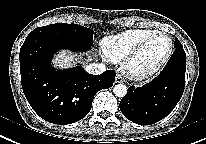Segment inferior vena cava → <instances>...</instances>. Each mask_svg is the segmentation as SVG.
I'll use <instances>...</instances> for the list:
<instances>
[{
    "label": "inferior vena cava",
    "mask_w": 206,
    "mask_h": 144,
    "mask_svg": "<svg viewBox=\"0 0 206 144\" xmlns=\"http://www.w3.org/2000/svg\"><path fill=\"white\" fill-rule=\"evenodd\" d=\"M86 71L93 75H100L105 71V65L100 63H92L86 66Z\"/></svg>",
    "instance_id": "602c4592"
}]
</instances>
